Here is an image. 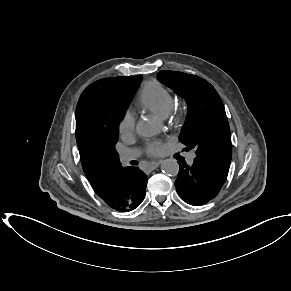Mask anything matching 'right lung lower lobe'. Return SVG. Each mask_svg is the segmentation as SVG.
<instances>
[{"instance_id":"right-lung-lower-lobe-1","label":"right lung lower lobe","mask_w":291,"mask_h":291,"mask_svg":"<svg viewBox=\"0 0 291 291\" xmlns=\"http://www.w3.org/2000/svg\"><path fill=\"white\" fill-rule=\"evenodd\" d=\"M117 185L112 196L105 201L112 209L127 212L137 208L145 198L147 176L138 167L121 168L115 172Z\"/></svg>"}]
</instances>
